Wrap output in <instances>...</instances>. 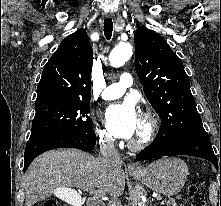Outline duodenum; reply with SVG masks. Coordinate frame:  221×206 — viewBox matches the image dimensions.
Returning <instances> with one entry per match:
<instances>
[{"mask_svg":"<svg viewBox=\"0 0 221 206\" xmlns=\"http://www.w3.org/2000/svg\"><path fill=\"white\" fill-rule=\"evenodd\" d=\"M87 206H104V203L98 198H91L88 201Z\"/></svg>","mask_w":221,"mask_h":206,"instance_id":"1","label":"duodenum"}]
</instances>
